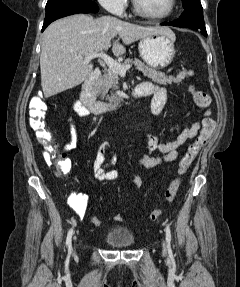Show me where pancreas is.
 <instances>
[{"mask_svg":"<svg viewBox=\"0 0 240 287\" xmlns=\"http://www.w3.org/2000/svg\"><path fill=\"white\" fill-rule=\"evenodd\" d=\"M122 65H135L138 71H141L144 76L150 78L152 81L161 85H167L173 83H180L183 79L192 75L190 71H182L176 78L167 77L164 73L157 71L147 65L139 59L127 58ZM119 88V74L111 69L104 71L103 76L100 78L96 91L102 97L105 98L109 103H116L119 101V97L112 93V91ZM111 90V94L108 92Z\"/></svg>","mask_w":240,"mask_h":287,"instance_id":"cf45deb5","label":"pancreas"}]
</instances>
